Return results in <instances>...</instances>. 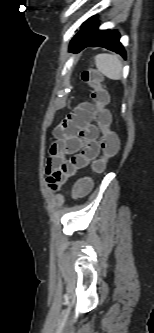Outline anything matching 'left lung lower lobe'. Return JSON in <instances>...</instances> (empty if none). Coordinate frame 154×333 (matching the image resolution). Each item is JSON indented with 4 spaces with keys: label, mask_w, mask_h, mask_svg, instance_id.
Masks as SVG:
<instances>
[{
    "label": "left lung lower lobe",
    "mask_w": 154,
    "mask_h": 333,
    "mask_svg": "<svg viewBox=\"0 0 154 333\" xmlns=\"http://www.w3.org/2000/svg\"><path fill=\"white\" fill-rule=\"evenodd\" d=\"M98 30V24L94 17L89 18L81 25L80 31L72 39L70 49L74 52L85 47H105L126 58L125 50L119 42L120 34L116 30Z\"/></svg>",
    "instance_id": "0a47b994"
}]
</instances>
